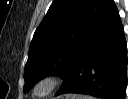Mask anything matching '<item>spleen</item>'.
<instances>
[{
    "instance_id": "1",
    "label": "spleen",
    "mask_w": 128,
    "mask_h": 99,
    "mask_svg": "<svg viewBox=\"0 0 128 99\" xmlns=\"http://www.w3.org/2000/svg\"><path fill=\"white\" fill-rule=\"evenodd\" d=\"M79 98H81V99H91V97H88V96H80Z\"/></svg>"
}]
</instances>
